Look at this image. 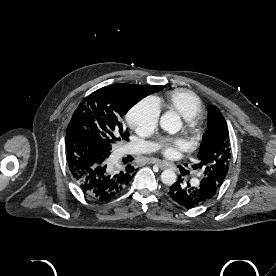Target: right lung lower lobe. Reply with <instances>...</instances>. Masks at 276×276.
Instances as JSON below:
<instances>
[{
    "label": "right lung lower lobe",
    "instance_id": "1",
    "mask_svg": "<svg viewBox=\"0 0 276 276\" xmlns=\"http://www.w3.org/2000/svg\"><path fill=\"white\" fill-rule=\"evenodd\" d=\"M67 162L76 184L90 199L107 201L118 196L130 183L136 169L130 164L111 170L107 158L87 140L79 137L67 144Z\"/></svg>",
    "mask_w": 276,
    "mask_h": 276
}]
</instances>
